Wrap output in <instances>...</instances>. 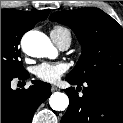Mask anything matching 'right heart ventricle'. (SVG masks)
Returning <instances> with one entry per match:
<instances>
[{
	"mask_svg": "<svg viewBox=\"0 0 123 123\" xmlns=\"http://www.w3.org/2000/svg\"><path fill=\"white\" fill-rule=\"evenodd\" d=\"M52 31H55V32H58V33H68V34H70V32L66 28L61 27V26H55Z\"/></svg>",
	"mask_w": 123,
	"mask_h": 123,
	"instance_id": "obj_1",
	"label": "right heart ventricle"
}]
</instances>
